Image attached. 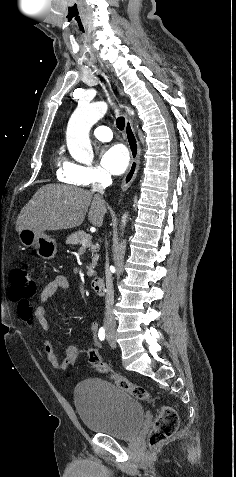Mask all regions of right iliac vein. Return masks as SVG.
<instances>
[{"mask_svg": "<svg viewBox=\"0 0 236 477\" xmlns=\"http://www.w3.org/2000/svg\"><path fill=\"white\" fill-rule=\"evenodd\" d=\"M108 340H110V341H114V340H115V335H114V333H109V334H108Z\"/></svg>", "mask_w": 236, "mask_h": 477, "instance_id": "1", "label": "right iliac vein"}]
</instances>
